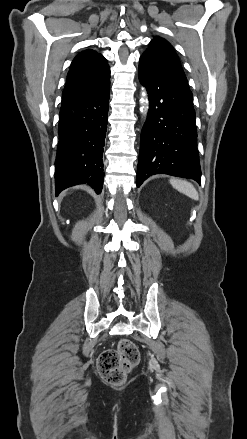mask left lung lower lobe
Wrapping results in <instances>:
<instances>
[{
	"label": "left lung lower lobe",
	"mask_w": 247,
	"mask_h": 439,
	"mask_svg": "<svg viewBox=\"0 0 247 439\" xmlns=\"http://www.w3.org/2000/svg\"><path fill=\"white\" fill-rule=\"evenodd\" d=\"M138 76L149 94L141 133L137 187L159 173L200 182L193 96L189 89L139 62Z\"/></svg>",
	"instance_id": "0a47b994"
}]
</instances>
